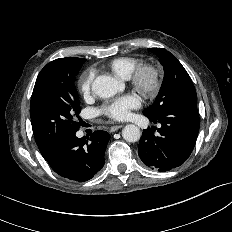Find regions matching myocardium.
<instances>
[{"label": "myocardium", "mask_w": 232, "mask_h": 232, "mask_svg": "<svg viewBox=\"0 0 232 232\" xmlns=\"http://www.w3.org/2000/svg\"><path fill=\"white\" fill-rule=\"evenodd\" d=\"M135 89L147 97L156 95L161 87V71L151 63L139 65L130 76Z\"/></svg>", "instance_id": "obj_1"}]
</instances>
